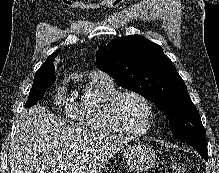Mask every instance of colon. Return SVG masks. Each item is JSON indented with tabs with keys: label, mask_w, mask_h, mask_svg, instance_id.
Masks as SVG:
<instances>
[{
	"label": "colon",
	"mask_w": 219,
	"mask_h": 173,
	"mask_svg": "<svg viewBox=\"0 0 219 173\" xmlns=\"http://www.w3.org/2000/svg\"><path fill=\"white\" fill-rule=\"evenodd\" d=\"M172 173H186V166L182 162H175L172 165Z\"/></svg>",
	"instance_id": "colon-1"
}]
</instances>
